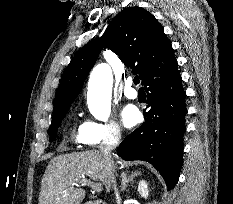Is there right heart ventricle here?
<instances>
[{
    "instance_id": "e07e8e85",
    "label": "right heart ventricle",
    "mask_w": 233,
    "mask_h": 204,
    "mask_svg": "<svg viewBox=\"0 0 233 204\" xmlns=\"http://www.w3.org/2000/svg\"><path fill=\"white\" fill-rule=\"evenodd\" d=\"M81 127H82V125H80V126L78 127L77 131H74V137H75V139H76L78 142H80V131H81Z\"/></svg>"
}]
</instances>
